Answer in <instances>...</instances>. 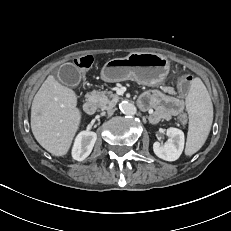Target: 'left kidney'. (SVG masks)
I'll list each match as a JSON object with an SVG mask.
<instances>
[{
  "instance_id": "left-kidney-1",
  "label": "left kidney",
  "mask_w": 231,
  "mask_h": 231,
  "mask_svg": "<svg viewBox=\"0 0 231 231\" xmlns=\"http://www.w3.org/2000/svg\"><path fill=\"white\" fill-rule=\"evenodd\" d=\"M169 139L161 144L156 141L153 143V151L155 155L166 161L177 160L183 152L185 137L182 130L170 127L166 130Z\"/></svg>"
}]
</instances>
